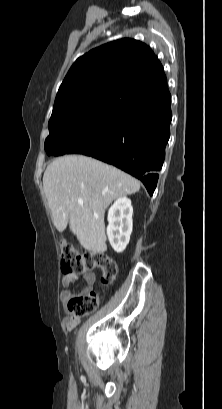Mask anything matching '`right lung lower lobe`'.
I'll return each mask as SVG.
<instances>
[{"label":"right lung lower lobe","mask_w":222,"mask_h":409,"mask_svg":"<svg viewBox=\"0 0 222 409\" xmlns=\"http://www.w3.org/2000/svg\"><path fill=\"white\" fill-rule=\"evenodd\" d=\"M171 119L169 91L120 104L102 144L87 155L138 178L152 195L165 158Z\"/></svg>","instance_id":"obj_1"}]
</instances>
